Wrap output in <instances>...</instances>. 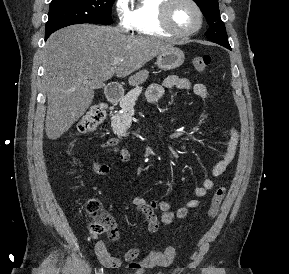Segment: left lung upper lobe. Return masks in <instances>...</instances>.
Segmentation results:
<instances>
[{"instance_id": "obj_1", "label": "left lung upper lobe", "mask_w": 289, "mask_h": 274, "mask_svg": "<svg viewBox=\"0 0 289 274\" xmlns=\"http://www.w3.org/2000/svg\"><path fill=\"white\" fill-rule=\"evenodd\" d=\"M201 9L210 26L206 32L207 39L222 46H230L225 25L220 18L217 0H194Z\"/></svg>"}]
</instances>
